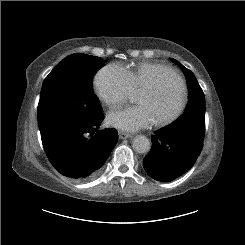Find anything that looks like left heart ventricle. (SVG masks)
Returning <instances> with one entry per match:
<instances>
[{"instance_id": "b2bd125f", "label": "left heart ventricle", "mask_w": 245, "mask_h": 245, "mask_svg": "<svg viewBox=\"0 0 245 245\" xmlns=\"http://www.w3.org/2000/svg\"><path fill=\"white\" fill-rule=\"evenodd\" d=\"M155 84L163 85V91L158 94L140 92L138 104L147 107L154 120L157 121L174 112L180 104L179 86L171 75H161Z\"/></svg>"}]
</instances>
